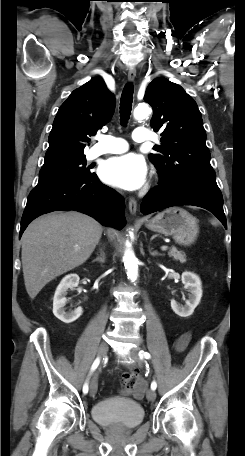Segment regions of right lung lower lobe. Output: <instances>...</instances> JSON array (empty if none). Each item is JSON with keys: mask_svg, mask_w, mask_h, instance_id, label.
<instances>
[{"mask_svg": "<svg viewBox=\"0 0 245 456\" xmlns=\"http://www.w3.org/2000/svg\"><path fill=\"white\" fill-rule=\"evenodd\" d=\"M56 210H76L94 217L103 225L119 229L126 224L124 199L102 184L95 174L85 180L35 187L27 199L20 237L32 220Z\"/></svg>", "mask_w": 245, "mask_h": 456, "instance_id": "98d812e1", "label": "right lung lower lobe"}]
</instances>
